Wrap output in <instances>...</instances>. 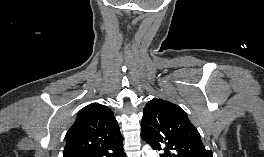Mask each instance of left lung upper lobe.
I'll use <instances>...</instances> for the list:
<instances>
[{"instance_id": "obj_1", "label": "left lung upper lobe", "mask_w": 264, "mask_h": 157, "mask_svg": "<svg viewBox=\"0 0 264 157\" xmlns=\"http://www.w3.org/2000/svg\"><path fill=\"white\" fill-rule=\"evenodd\" d=\"M141 137L160 157H213L202 144L198 130L179 106L153 98L143 110Z\"/></svg>"}]
</instances>
